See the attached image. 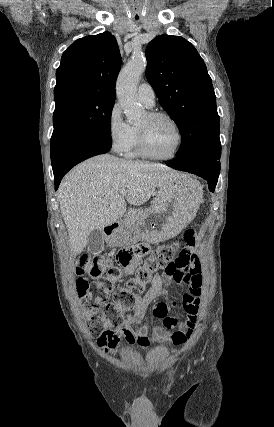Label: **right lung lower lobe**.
Wrapping results in <instances>:
<instances>
[{
    "label": "right lung lower lobe",
    "instance_id": "right-lung-lower-lobe-1",
    "mask_svg": "<svg viewBox=\"0 0 274 427\" xmlns=\"http://www.w3.org/2000/svg\"><path fill=\"white\" fill-rule=\"evenodd\" d=\"M111 146V140L93 139L69 150L57 162L52 164L55 190H57L63 176L72 167L89 157L108 152Z\"/></svg>",
    "mask_w": 274,
    "mask_h": 427
}]
</instances>
